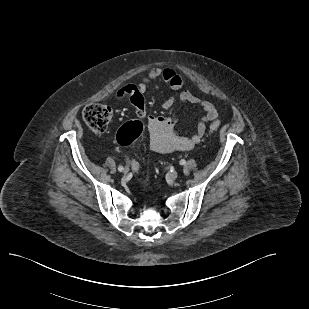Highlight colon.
<instances>
[{"instance_id": "5ec220e1", "label": "colon", "mask_w": 309, "mask_h": 309, "mask_svg": "<svg viewBox=\"0 0 309 309\" xmlns=\"http://www.w3.org/2000/svg\"><path fill=\"white\" fill-rule=\"evenodd\" d=\"M112 110L104 104H89L83 109V119L88 127L97 133L105 132L111 122ZM220 124L214 122L210 125L211 131L219 129ZM144 126L142 121L133 120L124 124L118 131L117 141L122 146L133 143L143 132ZM134 172L139 170V163L136 160L131 162Z\"/></svg>"}]
</instances>
